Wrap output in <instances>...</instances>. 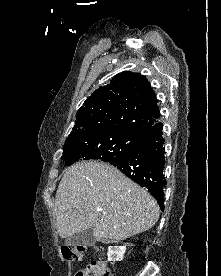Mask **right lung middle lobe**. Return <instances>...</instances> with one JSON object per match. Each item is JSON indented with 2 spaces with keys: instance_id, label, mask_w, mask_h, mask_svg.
<instances>
[{
  "instance_id": "1",
  "label": "right lung middle lobe",
  "mask_w": 221,
  "mask_h": 276,
  "mask_svg": "<svg viewBox=\"0 0 221 276\" xmlns=\"http://www.w3.org/2000/svg\"><path fill=\"white\" fill-rule=\"evenodd\" d=\"M142 138L122 132L94 135L88 138L66 141L62 160L66 165L89 159L109 162L128 154Z\"/></svg>"
}]
</instances>
